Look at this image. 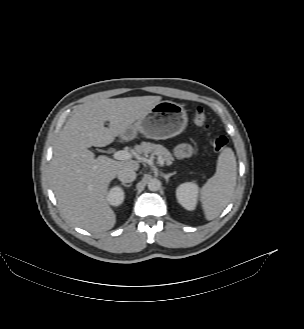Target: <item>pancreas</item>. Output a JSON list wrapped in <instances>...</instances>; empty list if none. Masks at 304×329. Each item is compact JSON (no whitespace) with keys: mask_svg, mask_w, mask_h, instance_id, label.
Listing matches in <instances>:
<instances>
[{"mask_svg":"<svg viewBox=\"0 0 304 329\" xmlns=\"http://www.w3.org/2000/svg\"><path fill=\"white\" fill-rule=\"evenodd\" d=\"M137 152L140 154H143L145 156H148L149 154H157L161 156L164 161H166L167 165H171L174 161V158L172 154L162 145L159 144H153L150 142H142L138 147H137Z\"/></svg>","mask_w":304,"mask_h":329,"instance_id":"obj_1","label":"pancreas"}]
</instances>
